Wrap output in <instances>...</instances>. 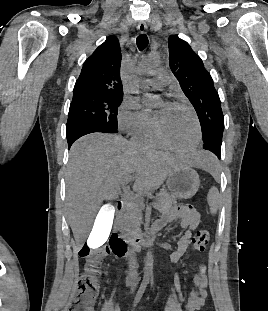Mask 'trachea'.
Here are the masks:
<instances>
[{
  "mask_svg": "<svg viewBox=\"0 0 268 311\" xmlns=\"http://www.w3.org/2000/svg\"><path fill=\"white\" fill-rule=\"evenodd\" d=\"M148 37L145 34H141L136 39L137 47L140 51L144 50L148 46Z\"/></svg>",
  "mask_w": 268,
  "mask_h": 311,
  "instance_id": "trachea-1",
  "label": "trachea"
}]
</instances>
